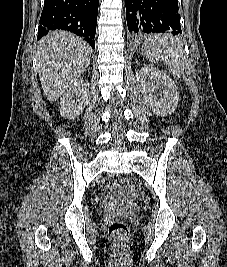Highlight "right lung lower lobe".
<instances>
[{"label": "right lung lower lobe", "instance_id": "right-lung-lower-lobe-1", "mask_svg": "<svg viewBox=\"0 0 227 267\" xmlns=\"http://www.w3.org/2000/svg\"><path fill=\"white\" fill-rule=\"evenodd\" d=\"M99 0H45L37 40L50 30L62 29L79 35L95 48Z\"/></svg>", "mask_w": 227, "mask_h": 267}]
</instances>
